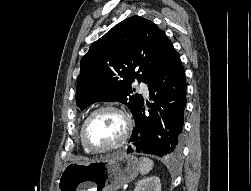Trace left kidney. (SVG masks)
Returning a JSON list of instances; mask_svg holds the SVG:
<instances>
[{
	"instance_id": "left-kidney-1",
	"label": "left kidney",
	"mask_w": 251,
	"mask_h": 191,
	"mask_svg": "<svg viewBox=\"0 0 251 191\" xmlns=\"http://www.w3.org/2000/svg\"><path fill=\"white\" fill-rule=\"evenodd\" d=\"M134 191H161L160 177H157V175H151V177L141 179L138 185H136Z\"/></svg>"
}]
</instances>
